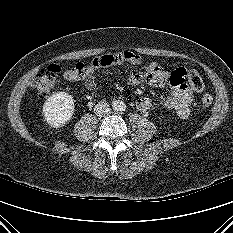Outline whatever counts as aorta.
Segmentation results:
<instances>
[{
	"mask_svg": "<svg viewBox=\"0 0 233 233\" xmlns=\"http://www.w3.org/2000/svg\"><path fill=\"white\" fill-rule=\"evenodd\" d=\"M112 108L115 111H123L125 109V103L121 100H115L112 103Z\"/></svg>",
	"mask_w": 233,
	"mask_h": 233,
	"instance_id": "obj_1",
	"label": "aorta"
}]
</instances>
